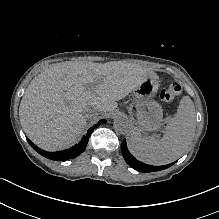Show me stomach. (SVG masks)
<instances>
[{"instance_id": "1", "label": "stomach", "mask_w": 219, "mask_h": 219, "mask_svg": "<svg viewBox=\"0 0 219 219\" xmlns=\"http://www.w3.org/2000/svg\"><path fill=\"white\" fill-rule=\"evenodd\" d=\"M158 88L159 82L156 79L146 78L133 90L137 123L144 131H156L163 124L162 107L154 99Z\"/></svg>"}]
</instances>
